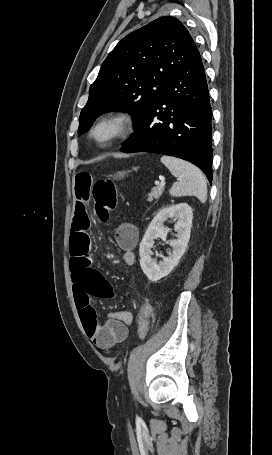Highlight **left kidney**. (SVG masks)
Returning a JSON list of instances; mask_svg holds the SVG:
<instances>
[{"instance_id": "1", "label": "left kidney", "mask_w": 272, "mask_h": 455, "mask_svg": "<svg viewBox=\"0 0 272 455\" xmlns=\"http://www.w3.org/2000/svg\"><path fill=\"white\" fill-rule=\"evenodd\" d=\"M170 218L176 220L174 230L177 232V239L171 241L172 253H169L168 257H163V261L157 264L151 258V248L154 245L155 238L166 241L167 229L164 227V222ZM192 218V209L186 203L164 207L153 218L139 248L140 266L150 281L157 282L167 276L179 263L189 242Z\"/></svg>"}]
</instances>
